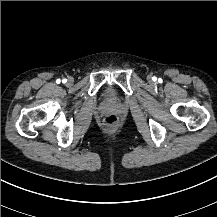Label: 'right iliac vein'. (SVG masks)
Listing matches in <instances>:
<instances>
[{
    "label": "right iliac vein",
    "instance_id": "right-iliac-vein-1",
    "mask_svg": "<svg viewBox=\"0 0 217 217\" xmlns=\"http://www.w3.org/2000/svg\"><path fill=\"white\" fill-rule=\"evenodd\" d=\"M72 82V79H68L67 83L70 84Z\"/></svg>",
    "mask_w": 217,
    "mask_h": 217
}]
</instances>
